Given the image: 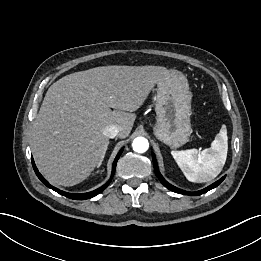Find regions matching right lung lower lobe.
<instances>
[{"mask_svg":"<svg viewBox=\"0 0 261 261\" xmlns=\"http://www.w3.org/2000/svg\"><path fill=\"white\" fill-rule=\"evenodd\" d=\"M123 151V148L120 150V152L117 154L114 162H113V167H112V175H111V178L109 179V181L104 184L103 186H101L100 188L94 190V191H91V192H88V193H82V194H73V193H67V192H64L62 190H59L55 187H53L52 185H50L45 179L44 177L39 173L37 167L35 166V163H34V160L32 158V165H33V169L36 173V175L38 176V178L41 180L42 183H44L47 187L51 188L52 190L56 191L57 193L63 195V196H66L70 199H74V200H84V199H88V198H92L96 195H98L99 193H101L111 182L112 180V177L115 173V168H116V164H117V161L121 155Z\"/></svg>","mask_w":261,"mask_h":261,"instance_id":"obj_1","label":"right lung lower lobe"}]
</instances>
